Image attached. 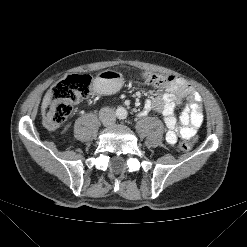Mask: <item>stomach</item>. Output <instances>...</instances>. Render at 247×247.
Returning <instances> with one entry per match:
<instances>
[{
	"mask_svg": "<svg viewBox=\"0 0 247 247\" xmlns=\"http://www.w3.org/2000/svg\"><path fill=\"white\" fill-rule=\"evenodd\" d=\"M123 83V77L120 73L106 70L98 74L95 84L102 93H113L118 91Z\"/></svg>",
	"mask_w": 247,
	"mask_h": 247,
	"instance_id": "0dacf381",
	"label": "stomach"
}]
</instances>
